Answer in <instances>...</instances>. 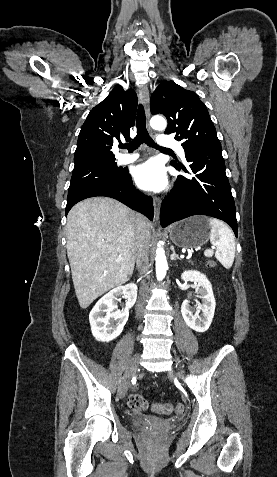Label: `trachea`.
Returning <instances> with one entry per match:
<instances>
[{
  "instance_id": "3493384b",
  "label": "trachea",
  "mask_w": 277,
  "mask_h": 477,
  "mask_svg": "<svg viewBox=\"0 0 277 477\" xmlns=\"http://www.w3.org/2000/svg\"><path fill=\"white\" fill-rule=\"evenodd\" d=\"M137 135L127 144L120 145V148H126L129 152L136 150L142 143L147 144L149 147L158 149L160 151L172 152V150L158 146L153 139L149 136L146 129V117L144 107L140 104L137 112L136 119Z\"/></svg>"
}]
</instances>
